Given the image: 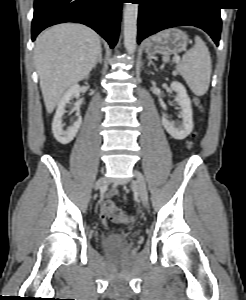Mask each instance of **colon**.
Listing matches in <instances>:
<instances>
[{
    "label": "colon",
    "mask_w": 246,
    "mask_h": 300,
    "mask_svg": "<svg viewBox=\"0 0 246 300\" xmlns=\"http://www.w3.org/2000/svg\"><path fill=\"white\" fill-rule=\"evenodd\" d=\"M196 106L200 111L203 110V107L198 99L195 100ZM189 146L191 143L188 144ZM103 215L106 219L119 224H131L133 218L126 213H124L118 206H116L111 200L107 199L103 203Z\"/></svg>",
    "instance_id": "5ec220e1"
}]
</instances>
